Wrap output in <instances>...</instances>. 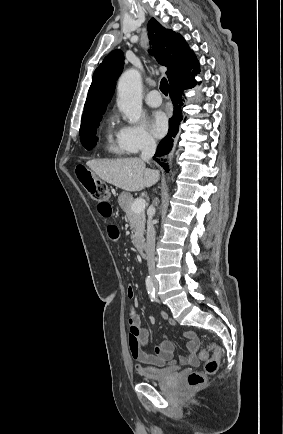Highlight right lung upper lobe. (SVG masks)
<instances>
[{"mask_svg":"<svg viewBox=\"0 0 283 434\" xmlns=\"http://www.w3.org/2000/svg\"><path fill=\"white\" fill-rule=\"evenodd\" d=\"M148 36L152 50L159 64L166 66V75L172 83H193L194 74L200 72L198 60L184 38L165 29L155 18L148 22ZM124 55L121 50L109 53L95 70L92 84L84 106L82 124H89L102 118L115 88V81L121 74ZM189 76H191L189 78Z\"/></svg>","mask_w":283,"mask_h":434,"instance_id":"cb5924a9","label":"right lung upper lobe"}]
</instances>
